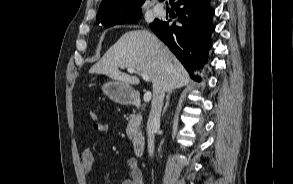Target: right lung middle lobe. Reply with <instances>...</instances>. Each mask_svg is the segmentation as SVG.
I'll use <instances>...</instances> for the list:
<instances>
[{"label": "right lung middle lobe", "mask_w": 293, "mask_h": 184, "mask_svg": "<svg viewBox=\"0 0 293 184\" xmlns=\"http://www.w3.org/2000/svg\"><path fill=\"white\" fill-rule=\"evenodd\" d=\"M141 17H142V12L137 13V14H135L133 16L127 17L125 19L119 20L117 22L107 24V25H105V27H110V26H113V25H116V24H124V23H129V22H131V23L136 22V21L140 20Z\"/></svg>", "instance_id": "1"}]
</instances>
